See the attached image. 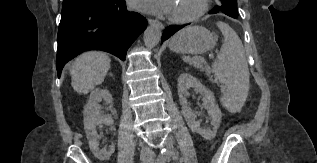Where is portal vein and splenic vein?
Listing matches in <instances>:
<instances>
[{
  "label": "portal vein and splenic vein",
  "mask_w": 317,
  "mask_h": 163,
  "mask_svg": "<svg viewBox=\"0 0 317 163\" xmlns=\"http://www.w3.org/2000/svg\"><path fill=\"white\" fill-rule=\"evenodd\" d=\"M189 62H190V63H195V62H196V60H190Z\"/></svg>",
  "instance_id": "18ae733b"
}]
</instances>
